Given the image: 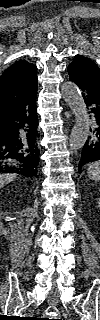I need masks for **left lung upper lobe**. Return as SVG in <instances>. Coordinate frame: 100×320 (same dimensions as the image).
Wrapping results in <instances>:
<instances>
[{"instance_id":"1","label":"left lung upper lobe","mask_w":100,"mask_h":320,"mask_svg":"<svg viewBox=\"0 0 100 320\" xmlns=\"http://www.w3.org/2000/svg\"><path fill=\"white\" fill-rule=\"evenodd\" d=\"M69 76L100 96V69L89 58L77 55L68 66Z\"/></svg>"}]
</instances>
